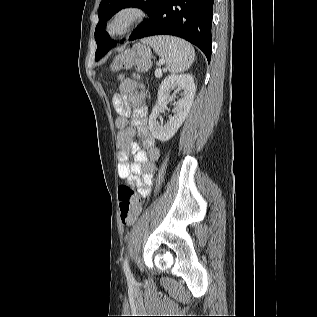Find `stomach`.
Masks as SVG:
<instances>
[{"label": "stomach", "instance_id": "obj_1", "mask_svg": "<svg viewBox=\"0 0 317 317\" xmlns=\"http://www.w3.org/2000/svg\"><path fill=\"white\" fill-rule=\"evenodd\" d=\"M118 57H128L129 63H133L135 59L149 60L151 58V50L145 45L137 44L132 49L119 54Z\"/></svg>", "mask_w": 317, "mask_h": 317}]
</instances>
